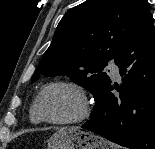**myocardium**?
Returning <instances> with one entry per match:
<instances>
[{"mask_svg":"<svg viewBox=\"0 0 155 149\" xmlns=\"http://www.w3.org/2000/svg\"><path fill=\"white\" fill-rule=\"evenodd\" d=\"M59 86L70 88L78 94L80 98L81 106H80L79 113L75 117L68 118V119H49L42 113L40 108V103L44 93L49 88L59 87ZM33 108L37 116L42 122L53 124V125H69V124H76V123L82 122L89 116L91 111L88 95L84 87L79 83L70 81V80H55L45 84L38 92L33 103Z\"/></svg>","mask_w":155,"mask_h":149,"instance_id":"obj_1","label":"myocardium"}]
</instances>
